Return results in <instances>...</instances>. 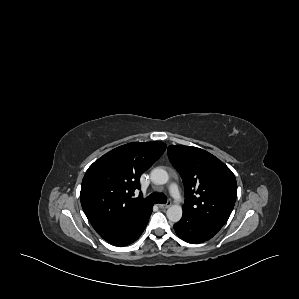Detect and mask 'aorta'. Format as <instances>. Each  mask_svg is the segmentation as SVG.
Masks as SVG:
<instances>
[{
	"label": "aorta",
	"mask_w": 299,
	"mask_h": 299,
	"mask_svg": "<svg viewBox=\"0 0 299 299\" xmlns=\"http://www.w3.org/2000/svg\"><path fill=\"white\" fill-rule=\"evenodd\" d=\"M151 181L156 185L166 184L169 180V175L166 170L156 167L151 171ZM182 207L178 204L171 205L166 212L167 218L171 222H178L182 218Z\"/></svg>",
	"instance_id": "aorta-1"
}]
</instances>
